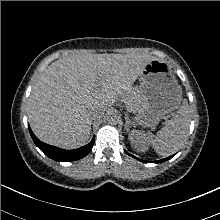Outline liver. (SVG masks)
I'll return each instance as SVG.
<instances>
[{"mask_svg": "<svg viewBox=\"0 0 220 220\" xmlns=\"http://www.w3.org/2000/svg\"><path fill=\"white\" fill-rule=\"evenodd\" d=\"M153 56L73 54L58 59L39 77L28 100V119L43 142L63 149L83 146L91 112L105 111L123 97Z\"/></svg>", "mask_w": 220, "mask_h": 220, "instance_id": "6515ba94", "label": "liver"}]
</instances>
